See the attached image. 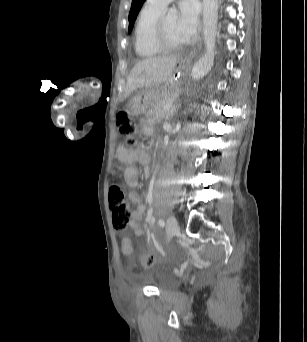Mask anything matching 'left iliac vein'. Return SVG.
Here are the masks:
<instances>
[{
  "mask_svg": "<svg viewBox=\"0 0 307 342\" xmlns=\"http://www.w3.org/2000/svg\"><path fill=\"white\" fill-rule=\"evenodd\" d=\"M167 240L170 241L179 231L177 219L171 215L166 222Z\"/></svg>",
  "mask_w": 307,
  "mask_h": 342,
  "instance_id": "obj_1",
  "label": "left iliac vein"
}]
</instances>
